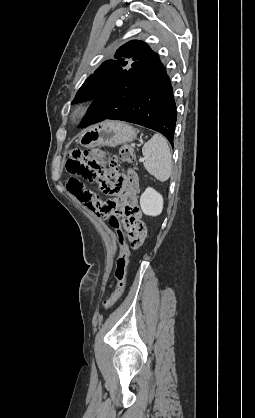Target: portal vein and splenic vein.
<instances>
[{"label":"portal vein and splenic vein","mask_w":255,"mask_h":418,"mask_svg":"<svg viewBox=\"0 0 255 418\" xmlns=\"http://www.w3.org/2000/svg\"><path fill=\"white\" fill-rule=\"evenodd\" d=\"M139 162H144V159H143V158H140V159H139Z\"/></svg>","instance_id":"obj_1"}]
</instances>
